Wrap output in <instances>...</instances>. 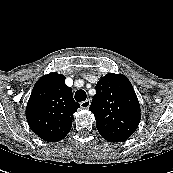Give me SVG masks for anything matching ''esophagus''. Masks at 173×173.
Instances as JSON below:
<instances>
[{"instance_id":"obj_1","label":"esophagus","mask_w":173,"mask_h":173,"mask_svg":"<svg viewBox=\"0 0 173 173\" xmlns=\"http://www.w3.org/2000/svg\"><path fill=\"white\" fill-rule=\"evenodd\" d=\"M90 104H91V101L89 99L80 103V105L83 109H88L90 107Z\"/></svg>"}]
</instances>
